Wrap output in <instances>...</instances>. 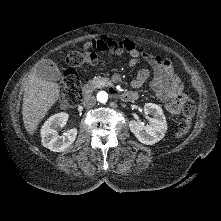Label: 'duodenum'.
I'll list each match as a JSON object with an SVG mask.
<instances>
[{
    "label": "duodenum",
    "instance_id": "duodenum-1",
    "mask_svg": "<svg viewBox=\"0 0 221 221\" xmlns=\"http://www.w3.org/2000/svg\"><path fill=\"white\" fill-rule=\"evenodd\" d=\"M92 92V86L91 85H86L83 89V94L84 96H88ZM110 93H115L113 89H110ZM120 99L123 102H131L137 99V95L132 92H125L119 95Z\"/></svg>",
    "mask_w": 221,
    "mask_h": 221
}]
</instances>
